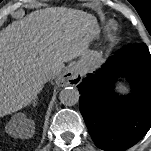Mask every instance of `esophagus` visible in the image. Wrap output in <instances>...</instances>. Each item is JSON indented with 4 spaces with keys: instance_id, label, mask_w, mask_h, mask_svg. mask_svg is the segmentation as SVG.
Masks as SVG:
<instances>
[{
    "instance_id": "obj_1",
    "label": "esophagus",
    "mask_w": 151,
    "mask_h": 151,
    "mask_svg": "<svg viewBox=\"0 0 151 151\" xmlns=\"http://www.w3.org/2000/svg\"><path fill=\"white\" fill-rule=\"evenodd\" d=\"M82 80V74L77 67L67 69L57 80L59 86H77Z\"/></svg>"
}]
</instances>
